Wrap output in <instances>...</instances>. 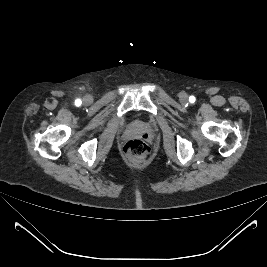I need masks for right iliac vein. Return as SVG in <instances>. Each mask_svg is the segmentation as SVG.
<instances>
[{"label":"right iliac vein","mask_w":267,"mask_h":267,"mask_svg":"<svg viewBox=\"0 0 267 267\" xmlns=\"http://www.w3.org/2000/svg\"><path fill=\"white\" fill-rule=\"evenodd\" d=\"M89 101H90V97L87 96V97L84 98V102L87 103V102H89Z\"/></svg>","instance_id":"1"}]
</instances>
